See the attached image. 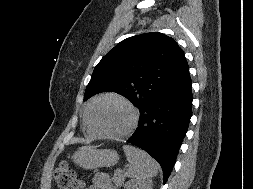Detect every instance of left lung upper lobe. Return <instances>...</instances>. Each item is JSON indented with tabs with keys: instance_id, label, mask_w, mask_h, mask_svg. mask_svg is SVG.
<instances>
[{
	"instance_id": "5c2ea615",
	"label": "left lung upper lobe",
	"mask_w": 253,
	"mask_h": 189,
	"mask_svg": "<svg viewBox=\"0 0 253 189\" xmlns=\"http://www.w3.org/2000/svg\"><path fill=\"white\" fill-rule=\"evenodd\" d=\"M186 62L176 41L162 33L127 38L97 64L84 100L100 92H116L140 110L175 78Z\"/></svg>"
}]
</instances>
